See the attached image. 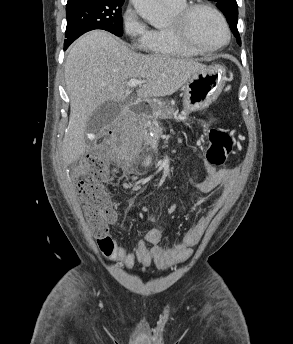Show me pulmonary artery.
Returning a JSON list of instances; mask_svg holds the SVG:
<instances>
[{
    "label": "pulmonary artery",
    "instance_id": "obj_1",
    "mask_svg": "<svg viewBox=\"0 0 293 344\" xmlns=\"http://www.w3.org/2000/svg\"><path fill=\"white\" fill-rule=\"evenodd\" d=\"M164 4H172V3H175L179 0H161Z\"/></svg>",
    "mask_w": 293,
    "mask_h": 344
}]
</instances>
